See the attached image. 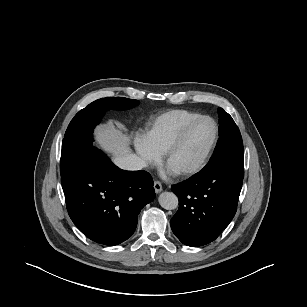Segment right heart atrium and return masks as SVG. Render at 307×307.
Segmentation results:
<instances>
[{"mask_svg":"<svg viewBox=\"0 0 307 307\" xmlns=\"http://www.w3.org/2000/svg\"><path fill=\"white\" fill-rule=\"evenodd\" d=\"M134 144L143 167H153L160 162L161 155L150 146L145 137L138 136Z\"/></svg>","mask_w":307,"mask_h":307,"instance_id":"1","label":"right heart atrium"}]
</instances>
